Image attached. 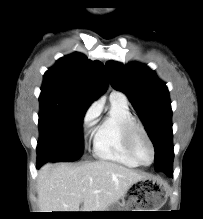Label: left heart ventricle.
<instances>
[{"label":"left heart ventricle","instance_id":"b2bd125f","mask_svg":"<svg viewBox=\"0 0 203 219\" xmlns=\"http://www.w3.org/2000/svg\"><path fill=\"white\" fill-rule=\"evenodd\" d=\"M134 145L141 161L144 163H150L152 160V151L147 140L142 134H137Z\"/></svg>","mask_w":203,"mask_h":219}]
</instances>
